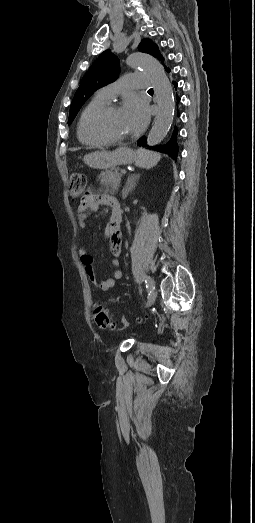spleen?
Listing matches in <instances>:
<instances>
[{
  "mask_svg": "<svg viewBox=\"0 0 255 523\" xmlns=\"http://www.w3.org/2000/svg\"><path fill=\"white\" fill-rule=\"evenodd\" d=\"M159 160H161V156L157 154V152H149V150H142V148H140V150H138L136 166L150 170V168L157 166Z\"/></svg>",
  "mask_w": 255,
  "mask_h": 523,
  "instance_id": "obj_1",
  "label": "spleen"
}]
</instances>
